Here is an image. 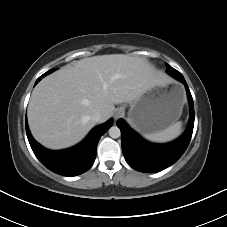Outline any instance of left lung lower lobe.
<instances>
[{
	"instance_id": "obj_1",
	"label": "left lung lower lobe",
	"mask_w": 227,
	"mask_h": 227,
	"mask_svg": "<svg viewBox=\"0 0 227 227\" xmlns=\"http://www.w3.org/2000/svg\"><path fill=\"white\" fill-rule=\"evenodd\" d=\"M170 75L185 85L190 105L189 125L181 137L171 143L153 144L142 139L124 120L117 121V126L121 130V144L125 160L133 169L140 172L154 173L174 164L187 149L192 136L194 105L190 90L180 72L172 71Z\"/></svg>"
}]
</instances>
